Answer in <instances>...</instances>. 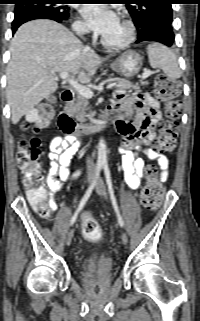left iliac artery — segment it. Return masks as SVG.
<instances>
[{
  "mask_svg": "<svg viewBox=\"0 0 200 321\" xmlns=\"http://www.w3.org/2000/svg\"><path fill=\"white\" fill-rule=\"evenodd\" d=\"M103 169H104V173H105V177H106V183H107V186H108V191H109V194H110V198H111L113 207H114L115 212H116L117 217H118V223H119V225L121 227H123L124 226V221H123L122 216L120 214V211H119V208H118V204H117V201H116V197L114 195L112 180H111V176H110V170H109V167H108L107 163L103 164Z\"/></svg>",
  "mask_w": 200,
  "mask_h": 321,
  "instance_id": "44dca946",
  "label": "left iliac artery"
}]
</instances>
